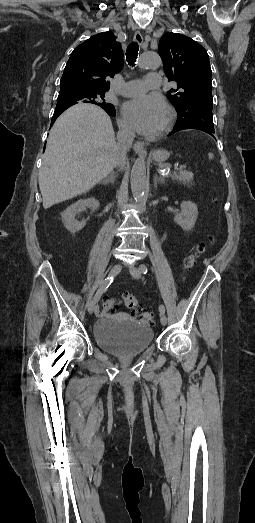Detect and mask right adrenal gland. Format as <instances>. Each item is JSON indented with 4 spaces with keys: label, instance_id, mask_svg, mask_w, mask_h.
<instances>
[{
    "label": "right adrenal gland",
    "instance_id": "2a0ac1e0",
    "mask_svg": "<svg viewBox=\"0 0 255 523\" xmlns=\"http://www.w3.org/2000/svg\"><path fill=\"white\" fill-rule=\"evenodd\" d=\"M115 178H116V176H115L114 172H112V174H110V176H107V178H104L103 182H104V184H109V182H110V184H114Z\"/></svg>",
    "mask_w": 255,
    "mask_h": 523
}]
</instances>
